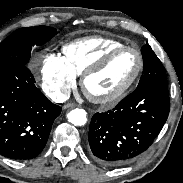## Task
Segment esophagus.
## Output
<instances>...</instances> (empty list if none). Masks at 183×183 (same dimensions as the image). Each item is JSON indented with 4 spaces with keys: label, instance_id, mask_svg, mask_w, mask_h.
<instances>
[{
    "label": "esophagus",
    "instance_id": "obj_1",
    "mask_svg": "<svg viewBox=\"0 0 183 183\" xmlns=\"http://www.w3.org/2000/svg\"><path fill=\"white\" fill-rule=\"evenodd\" d=\"M75 106L76 105L74 103H67V104L63 105V109L73 108Z\"/></svg>",
    "mask_w": 183,
    "mask_h": 183
}]
</instances>
